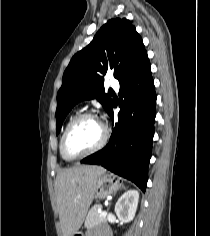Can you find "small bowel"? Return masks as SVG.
Listing matches in <instances>:
<instances>
[{
	"label": "small bowel",
	"instance_id": "small-bowel-1",
	"mask_svg": "<svg viewBox=\"0 0 210 236\" xmlns=\"http://www.w3.org/2000/svg\"><path fill=\"white\" fill-rule=\"evenodd\" d=\"M88 236H110V233L106 229H102L98 232H90Z\"/></svg>",
	"mask_w": 210,
	"mask_h": 236
}]
</instances>
